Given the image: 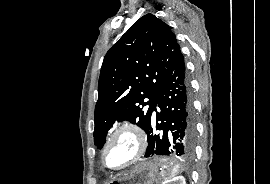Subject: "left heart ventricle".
<instances>
[{"mask_svg":"<svg viewBox=\"0 0 270 184\" xmlns=\"http://www.w3.org/2000/svg\"><path fill=\"white\" fill-rule=\"evenodd\" d=\"M136 142L132 134L123 132L116 137L106 153V163L110 167H119L135 153Z\"/></svg>","mask_w":270,"mask_h":184,"instance_id":"left-heart-ventricle-1","label":"left heart ventricle"}]
</instances>
